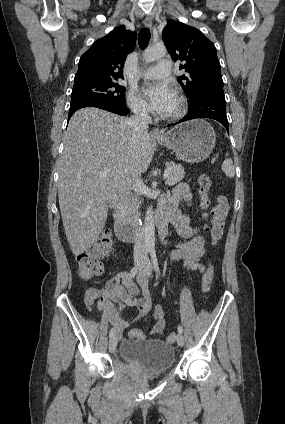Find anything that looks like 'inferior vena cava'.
<instances>
[{
	"instance_id": "inferior-vena-cava-1",
	"label": "inferior vena cava",
	"mask_w": 285,
	"mask_h": 424,
	"mask_svg": "<svg viewBox=\"0 0 285 424\" xmlns=\"http://www.w3.org/2000/svg\"><path fill=\"white\" fill-rule=\"evenodd\" d=\"M133 116L129 119V125L132 129V139L134 143L141 136V134L146 131L148 124L151 122V118L148 114V111L145 107L141 105H136L132 107ZM143 188V181L141 179V174L135 175V180L133 184V190L136 193H141ZM143 233L141 227L139 226L136 231V237L134 242V257L137 260H147L145 255V244L143 241Z\"/></svg>"
}]
</instances>
